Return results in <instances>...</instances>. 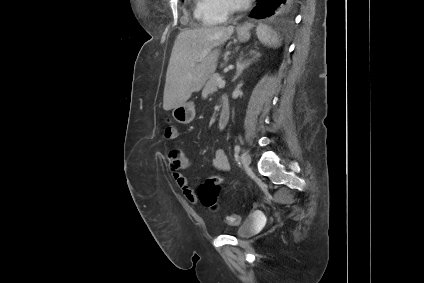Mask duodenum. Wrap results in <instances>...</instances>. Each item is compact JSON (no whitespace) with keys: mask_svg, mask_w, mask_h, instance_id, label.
<instances>
[{"mask_svg":"<svg viewBox=\"0 0 424 283\" xmlns=\"http://www.w3.org/2000/svg\"><path fill=\"white\" fill-rule=\"evenodd\" d=\"M229 114H230V105L229 101L226 98H223L221 101V109H220V116H219V128L224 129L228 123L229 120Z\"/></svg>","mask_w":424,"mask_h":283,"instance_id":"duodenum-1","label":"duodenum"}]
</instances>
